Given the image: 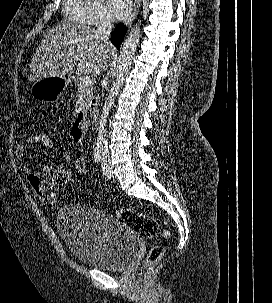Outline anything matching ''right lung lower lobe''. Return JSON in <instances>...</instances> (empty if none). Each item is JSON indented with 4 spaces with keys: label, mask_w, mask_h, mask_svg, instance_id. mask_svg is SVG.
Masks as SVG:
<instances>
[{
    "label": "right lung lower lobe",
    "mask_w": 272,
    "mask_h": 303,
    "mask_svg": "<svg viewBox=\"0 0 272 303\" xmlns=\"http://www.w3.org/2000/svg\"><path fill=\"white\" fill-rule=\"evenodd\" d=\"M126 33V27L118 24L111 35V42L119 49Z\"/></svg>",
    "instance_id": "right-lung-lower-lobe-1"
}]
</instances>
